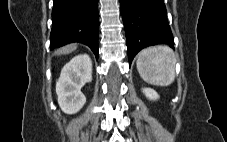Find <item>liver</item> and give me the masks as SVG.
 Returning a JSON list of instances; mask_svg holds the SVG:
<instances>
[{
	"label": "liver",
	"instance_id": "1",
	"mask_svg": "<svg viewBox=\"0 0 227 142\" xmlns=\"http://www.w3.org/2000/svg\"><path fill=\"white\" fill-rule=\"evenodd\" d=\"M77 49V44H70L67 45L59 50L56 51V54L61 55V54H68Z\"/></svg>",
	"mask_w": 227,
	"mask_h": 142
}]
</instances>
